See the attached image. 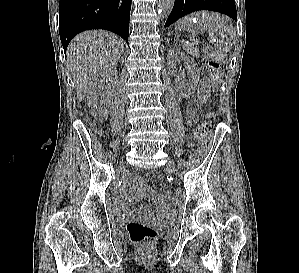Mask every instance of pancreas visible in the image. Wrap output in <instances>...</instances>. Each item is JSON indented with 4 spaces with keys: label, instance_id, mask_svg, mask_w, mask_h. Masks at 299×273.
Returning <instances> with one entry per match:
<instances>
[{
    "label": "pancreas",
    "instance_id": "cf45deb5",
    "mask_svg": "<svg viewBox=\"0 0 299 273\" xmlns=\"http://www.w3.org/2000/svg\"><path fill=\"white\" fill-rule=\"evenodd\" d=\"M185 49L187 50L188 53H190L194 57H199L200 56L199 50L197 48H195L193 45H186Z\"/></svg>",
    "mask_w": 299,
    "mask_h": 273
}]
</instances>
